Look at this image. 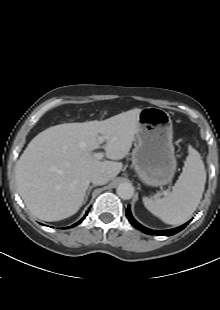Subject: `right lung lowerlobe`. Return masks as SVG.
Wrapping results in <instances>:
<instances>
[{"label":"right lung lower lobe","mask_w":220,"mask_h":310,"mask_svg":"<svg viewBox=\"0 0 220 310\" xmlns=\"http://www.w3.org/2000/svg\"><path fill=\"white\" fill-rule=\"evenodd\" d=\"M87 214H88V212H86V214L84 215V217H83L79 222H77L76 224H74L72 227H74V226L78 225L79 223H81V222L84 220V218L87 216Z\"/></svg>","instance_id":"obj_1"}]
</instances>
